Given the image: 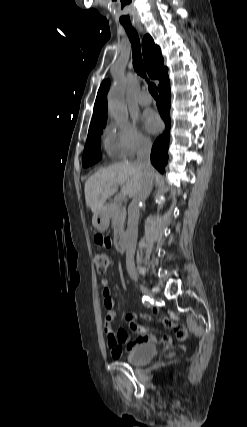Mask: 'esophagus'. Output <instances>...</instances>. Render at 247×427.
Instances as JSON below:
<instances>
[{
    "instance_id": "34e87169",
    "label": "esophagus",
    "mask_w": 247,
    "mask_h": 427,
    "mask_svg": "<svg viewBox=\"0 0 247 427\" xmlns=\"http://www.w3.org/2000/svg\"><path fill=\"white\" fill-rule=\"evenodd\" d=\"M138 29H139V31H143V29H142V27L141 26H138Z\"/></svg>"
}]
</instances>
